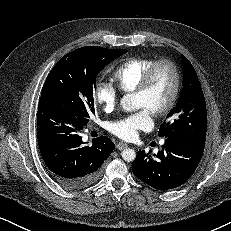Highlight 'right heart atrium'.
Instances as JSON below:
<instances>
[{"label": "right heart atrium", "instance_id": "1", "mask_svg": "<svg viewBox=\"0 0 231 231\" xmlns=\"http://www.w3.org/2000/svg\"><path fill=\"white\" fill-rule=\"evenodd\" d=\"M95 100L106 111H111L118 103L119 95L117 89L107 82H100L95 88Z\"/></svg>", "mask_w": 231, "mask_h": 231}]
</instances>
